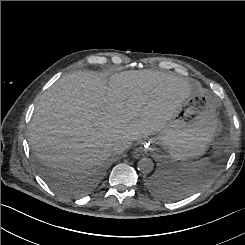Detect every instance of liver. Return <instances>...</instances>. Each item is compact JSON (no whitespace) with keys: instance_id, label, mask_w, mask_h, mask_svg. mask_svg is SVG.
<instances>
[{"instance_id":"6515ba94","label":"liver","mask_w":245,"mask_h":245,"mask_svg":"<svg viewBox=\"0 0 245 245\" xmlns=\"http://www.w3.org/2000/svg\"><path fill=\"white\" fill-rule=\"evenodd\" d=\"M195 84L151 70L113 74L108 82L93 72L60 78L42 95L29 129L35 155L70 172L99 165L113 147L161 132Z\"/></svg>"}]
</instances>
